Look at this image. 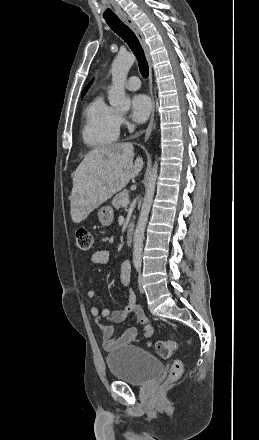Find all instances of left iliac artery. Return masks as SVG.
Masks as SVG:
<instances>
[{
	"label": "left iliac artery",
	"mask_w": 259,
	"mask_h": 440,
	"mask_svg": "<svg viewBox=\"0 0 259 440\" xmlns=\"http://www.w3.org/2000/svg\"><path fill=\"white\" fill-rule=\"evenodd\" d=\"M140 265H136V269H137V271H140Z\"/></svg>",
	"instance_id": "1"
}]
</instances>
